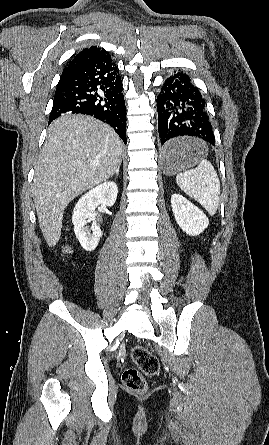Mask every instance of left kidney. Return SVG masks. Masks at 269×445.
<instances>
[{"label": "left kidney", "instance_id": "left-kidney-1", "mask_svg": "<svg viewBox=\"0 0 269 445\" xmlns=\"http://www.w3.org/2000/svg\"><path fill=\"white\" fill-rule=\"evenodd\" d=\"M171 207L177 224L188 235H199L208 227L206 215L182 195L171 196Z\"/></svg>", "mask_w": 269, "mask_h": 445}]
</instances>
